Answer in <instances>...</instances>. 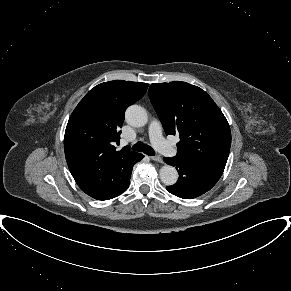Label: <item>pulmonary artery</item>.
<instances>
[{
  "instance_id": "1",
  "label": "pulmonary artery",
  "mask_w": 291,
  "mask_h": 291,
  "mask_svg": "<svg viewBox=\"0 0 291 291\" xmlns=\"http://www.w3.org/2000/svg\"><path fill=\"white\" fill-rule=\"evenodd\" d=\"M149 136L152 144L161 154L168 157L176 155V149L164 139L159 121L152 120L150 122Z\"/></svg>"
}]
</instances>
